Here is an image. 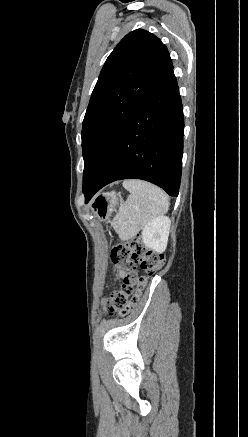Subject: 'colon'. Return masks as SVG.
I'll use <instances>...</instances> for the list:
<instances>
[{
    "label": "colon",
    "instance_id": "obj_1",
    "mask_svg": "<svg viewBox=\"0 0 248 437\" xmlns=\"http://www.w3.org/2000/svg\"><path fill=\"white\" fill-rule=\"evenodd\" d=\"M112 263L126 271L120 289L113 292L103 302L107 314L127 315L138 303L146 279L159 271L164 263V255L146 248L138 238L116 244L111 250ZM139 265L145 275H138Z\"/></svg>",
    "mask_w": 248,
    "mask_h": 437
}]
</instances>
